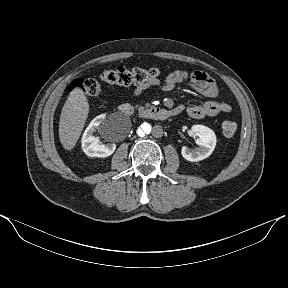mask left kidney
I'll use <instances>...</instances> for the list:
<instances>
[{
    "label": "left kidney",
    "instance_id": "left-kidney-1",
    "mask_svg": "<svg viewBox=\"0 0 288 288\" xmlns=\"http://www.w3.org/2000/svg\"><path fill=\"white\" fill-rule=\"evenodd\" d=\"M192 133L199 138L196 140L197 148L191 150L187 147H182L181 154L183 158L191 162L201 161L209 157L216 146V135L210 128L203 125H193Z\"/></svg>",
    "mask_w": 288,
    "mask_h": 288
}]
</instances>
